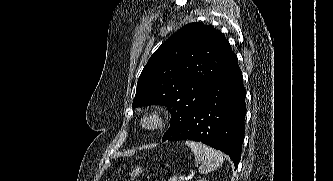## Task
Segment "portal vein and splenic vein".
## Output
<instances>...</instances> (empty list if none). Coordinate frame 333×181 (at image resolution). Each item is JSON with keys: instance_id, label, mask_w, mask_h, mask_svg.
<instances>
[{"instance_id": "obj_1", "label": "portal vein and splenic vein", "mask_w": 333, "mask_h": 181, "mask_svg": "<svg viewBox=\"0 0 333 181\" xmlns=\"http://www.w3.org/2000/svg\"><path fill=\"white\" fill-rule=\"evenodd\" d=\"M184 180H186V177H185V176H180V177H179V181H184Z\"/></svg>"}]
</instances>
